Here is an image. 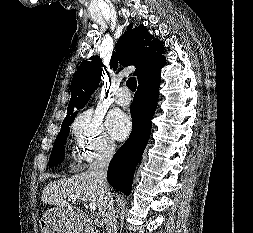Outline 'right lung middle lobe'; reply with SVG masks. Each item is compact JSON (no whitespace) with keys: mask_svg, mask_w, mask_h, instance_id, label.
Here are the masks:
<instances>
[{"mask_svg":"<svg viewBox=\"0 0 253 233\" xmlns=\"http://www.w3.org/2000/svg\"><path fill=\"white\" fill-rule=\"evenodd\" d=\"M75 116H70L64 119L60 133L58 134L52 152L49 160V167H53L61 162H63L64 159V145L66 143V139L69 133V126L74 121Z\"/></svg>","mask_w":253,"mask_h":233,"instance_id":"right-lung-middle-lobe-1","label":"right lung middle lobe"}]
</instances>
